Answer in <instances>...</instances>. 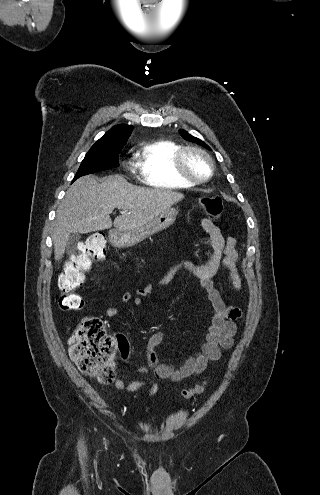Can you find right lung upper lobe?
<instances>
[{
	"mask_svg": "<svg viewBox=\"0 0 320 495\" xmlns=\"http://www.w3.org/2000/svg\"><path fill=\"white\" fill-rule=\"evenodd\" d=\"M132 132V126L116 125L104 134L93 146H124Z\"/></svg>",
	"mask_w": 320,
	"mask_h": 495,
	"instance_id": "1",
	"label": "right lung upper lobe"
}]
</instances>
